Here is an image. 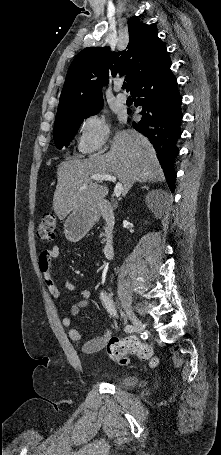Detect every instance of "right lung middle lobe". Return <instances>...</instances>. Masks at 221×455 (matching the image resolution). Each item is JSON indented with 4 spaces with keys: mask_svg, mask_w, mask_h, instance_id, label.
<instances>
[{
    "mask_svg": "<svg viewBox=\"0 0 221 455\" xmlns=\"http://www.w3.org/2000/svg\"><path fill=\"white\" fill-rule=\"evenodd\" d=\"M103 108V103L94 106L86 111L64 116L55 120L54 141L57 148L69 145L84 118L97 114Z\"/></svg>",
    "mask_w": 221,
    "mask_h": 455,
    "instance_id": "1",
    "label": "right lung middle lobe"
}]
</instances>
